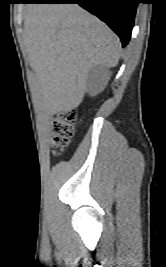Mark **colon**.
<instances>
[{
    "instance_id": "1",
    "label": "colon",
    "mask_w": 166,
    "mask_h": 267,
    "mask_svg": "<svg viewBox=\"0 0 166 267\" xmlns=\"http://www.w3.org/2000/svg\"><path fill=\"white\" fill-rule=\"evenodd\" d=\"M77 115L73 110H62L51 118L53 125V147L56 151L67 147L74 135Z\"/></svg>"
}]
</instances>
